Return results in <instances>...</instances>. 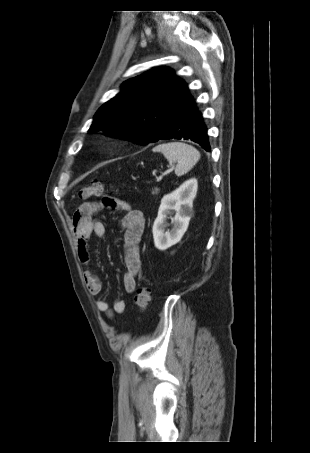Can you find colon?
I'll use <instances>...</instances> for the list:
<instances>
[{"label":"colon","mask_w":310,"mask_h":453,"mask_svg":"<svg viewBox=\"0 0 310 453\" xmlns=\"http://www.w3.org/2000/svg\"><path fill=\"white\" fill-rule=\"evenodd\" d=\"M104 193V184L101 181H93L84 185L78 191L80 200H87L95 196H100ZM107 205H112L113 201L109 198L105 199ZM150 288L146 285H140L136 291L134 302L139 312H144L150 301Z\"/></svg>","instance_id":"obj_1"}]
</instances>
